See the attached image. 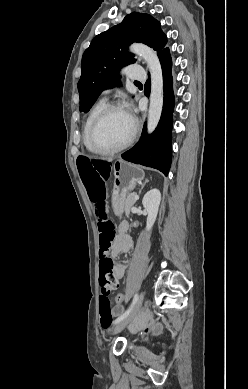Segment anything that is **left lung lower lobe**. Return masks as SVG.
<instances>
[{
	"mask_svg": "<svg viewBox=\"0 0 248 389\" xmlns=\"http://www.w3.org/2000/svg\"><path fill=\"white\" fill-rule=\"evenodd\" d=\"M163 72L164 102L161 119L156 130L147 134L146 124L138 143L129 151L122 154L126 161L155 168L167 176L172 160V115L174 110L173 78L171 74L172 60L168 48L158 54ZM151 81L145 83V95L150 94Z\"/></svg>",
	"mask_w": 248,
	"mask_h": 389,
	"instance_id": "obj_1",
	"label": "left lung lower lobe"
}]
</instances>
